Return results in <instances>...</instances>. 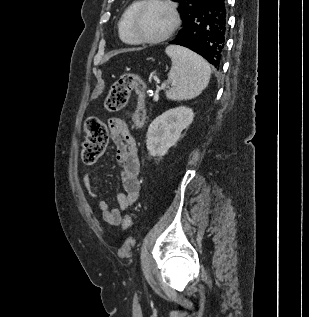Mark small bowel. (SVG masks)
Segmentation results:
<instances>
[{"mask_svg": "<svg viewBox=\"0 0 309 317\" xmlns=\"http://www.w3.org/2000/svg\"><path fill=\"white\" fill-rule=\"evenodd\" d=\"M108 125L115 148V157L121 168V182L124 191L116 195L118 207H111L106 200H100L99 207L103 220L116 226L123 222L122 211L129 209L140 196V160L136 141L126 121L122 118L111 117ZM83 183L90 197L98 198L100 196V188L93 182L90 174L84 175Z\"/></svg>", "mask_w": 309, "mask_h": 317, "instance_id": "small-bowel-1", "label": "small bowel"}]
</instances>
